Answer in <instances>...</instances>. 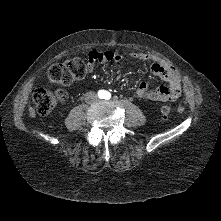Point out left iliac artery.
Segmentation results:
<instances>
[{
  "label": "left iliac artery",
  "mask_w": 221,
  "mask_h": 221,
  "mask_svg": "<svg viewBox=\"0 0 221 221\" xmlns=\"http://www.w3.org/2000/svg\"><path fill=\"white\" fill-rule=\"evenodd\" d=\"M111 98V94L109 92L105 93V99H110Z\"/></svg>",
  "instance_id": "left-iliac-artery-1"
}]
</instances>
